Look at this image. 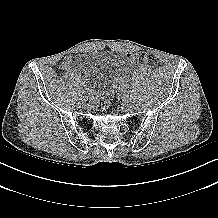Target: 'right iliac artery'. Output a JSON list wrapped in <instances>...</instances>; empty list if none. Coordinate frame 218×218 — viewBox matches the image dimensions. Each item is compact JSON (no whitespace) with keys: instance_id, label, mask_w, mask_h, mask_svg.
Segmentation results:
<instances>
[{"instance_id":"obj_1","label":"right iliac artery","mask_w":218,"mask_h":218,"mask_svg":"<svg viewBox=\"0 0 218 218\" xmlns=\"http://www.w3.org/2000/svg\"><path fill=\"white\" fill-rule=\"evenodd\" d=\"M83 90L86 92L87 89L84 87V88L80 91V94L82 95V97H83V94H82L81 92H82ZM81 99H82V98H81Z\"/></svg>"}]
</instances>
